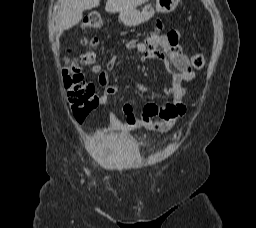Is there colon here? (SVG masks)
I'll return each instance as SVG.
<instances>
[{"instance_id":"colon-1","label":"colon","mask_w":256,"mask_h":228,"mask_svg":"<svg viewBox=\"0 0 256 228\" xmlns=\"http://www.w3.org/2000/svg\"><path fill=\"white\" fill-rule=\"evenodd\" d=\"M103 24L101 13L90 11L82 20V30L84 33L98 31ZM82 43L92 48L97 44V39L84 36ZM80 61L83 65L91 66L94 71H98L97 66L94 65V54L91 50L84 53ZM190 62L194 69H201L205 64V58L202 54H193L190 56ZM63 84L73 116L77 121L82 122L99 105L100 100L95 86L85 81L82 70L75 60H66L63 69Z\"/></svg>"}]
</instances>
